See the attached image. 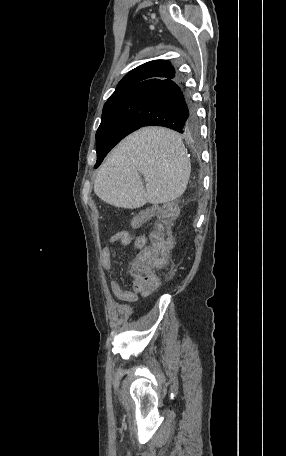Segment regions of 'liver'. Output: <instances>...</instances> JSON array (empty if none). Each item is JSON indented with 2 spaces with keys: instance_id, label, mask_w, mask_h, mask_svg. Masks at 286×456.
<instances>
[{
  "instance_id": "1",
  "label": "liver",
  "mask_w": 286,
  "mask_h": 456,
  "mask_svg": "<svg viewBox=\"0 0 286 456\" xmlns=\"http://www.w3.org/2000/svg\"><path fill=\"white\" fill-rule=\"evenodd\" d=\"M190 172L180 135L162 127H145L112 150L97 173L94 192L104 202L128 209L147 202L168 203L185 192Z\"/></svg>"
}]
</instances>
